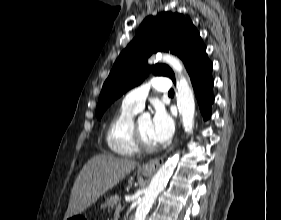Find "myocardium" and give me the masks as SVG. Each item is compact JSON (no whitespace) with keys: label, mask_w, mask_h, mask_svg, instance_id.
<instances>
[{"label":"myocardium","mask_w":281,"mask_h":220,"mask_svg":"<svg viewBox=\"0 0 281 220\" xmlns=\"http://www.w3.org/2000/svg\"><path fill=\"white\" fill-rule=\"evenodd\" d=\"M132 138H133L134 144L139 149V151L153 152V151L157 150V148H158L157 145H149L148 143H146L144 141L137 123H133Z\"/></svg>","instance_id":"1"}]
</instances>
